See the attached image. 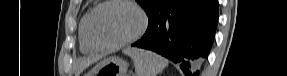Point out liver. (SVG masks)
<instances>
[{
  "label": "liver",
  "mask_w": 287,
  "mask_h": 76,
  "mask_svg": "<svg viewBox=\"0 0 287 76\" xmlns=\"http://www.w3.org/2000/svg\"><path fill=\"white\" fill-rule=\"evenodd\" d=\"M100 59V57H92V58H85L83 59L76 70V76H79V74L85 70L87 67H89L91 64H93L94 62H97Z\"/></svg>",
  "instance_id": "obj_1"
}]
</instances>
